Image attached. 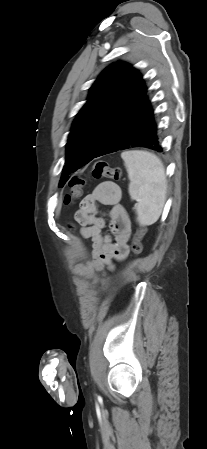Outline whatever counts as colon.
Instances as JSON below:
<instances>
[{
	"label": "colon",
	"mask_w": 207,
	"mask_h": 449,
	"mask_svg": "<svg viewBox=\"0 0 207 449\" xmlns=\"http://www.w3.org/2000/svg\"><path fill=\"white\" fill-rule=\"evenodd\" d=\"M90 174L95 179L108 178L115 181L122 179V171L120 168L110 167L106 161L102 160L97 161L92 165ZM84 185V177L75 176L70 180L69 186L71 191L64 197L65 205H72L74 201L81 196ZM145 231V228H140L133 237L131 248L135 255H139L142 252V239Z\"/></svg>",
	"instance_id": "colon-1"
}]
</instances>
